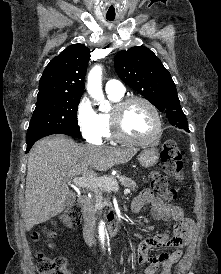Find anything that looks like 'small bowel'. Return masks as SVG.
<instances>
[{"mask_svg":"<svg viewBox=\"0 0 221 274\" xmlns=\"http://www.w3.org/2000/svg\"><path fill=\"white\" fill-rule=\"evenodd\" d=\"M146 204L151 205L154 219H172L176 224L173 236H169L166 233H158L143 239L137 248V261L140 265L145 266L143 274H157L160 268V274H171L173 266L179 261L184 248L192 239L193 222L185 217L179 206L164 202L148 189L140 192L133 200L132 211L139 213ZM164 248H171V251L154 257L149 256L151 250Z\"/></svg>","mask_w":221,"mask_h":274,"instance_id":"1","label":"small bowel"}]
</instances>
